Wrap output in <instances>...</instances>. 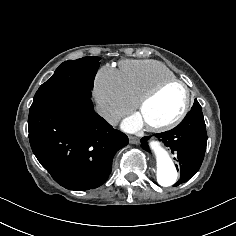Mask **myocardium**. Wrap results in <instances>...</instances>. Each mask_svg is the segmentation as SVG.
Returning a JSON list of instances; mask_svg holds the SVG:
<instances>
[{"label": "myocardium", "mask_w": 236, "mask_h": 236, "mask_svg": "<svg viewBox=\"0 0 236 236\" xmlns=\"http://www.w3.org/2000/svg\"><path fill=\"white\" fill-rule=\"evenodd\" d=\"M178 84L183 87L185 90V104L181 111V113L171 122L164 124V125H146L147 129L153 133L161 134L169 132L179 125H181L186 117L188 116L190 110H191V103H192V92L190 87L182 80L178 78H170L165 79L160 82H158L156 85H154L151 89H149L137 102V108L139 111H141L151 100H153L162 90H164L166 87Z\"/></svg>", "instance_id": "obj_1"}]
</instances>
